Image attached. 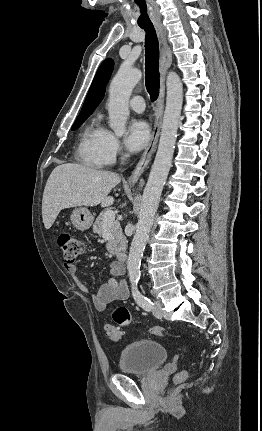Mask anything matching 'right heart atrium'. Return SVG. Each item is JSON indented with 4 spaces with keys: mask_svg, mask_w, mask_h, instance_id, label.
Masks as SVG:
<instances>
[{
    "mask_svg": "<svg viewBox=\"0 0 262 431\" xmlns=\"http://www.w3.org/2000/svg\"><path fill=\"white\" fill-rule=\"evenodd\" d=\"M102 149L105 164L113 163L120 155H122L121 142L108 130L105 131Z\"/></svg>",
    "mask_w": 262,
    "mask_h": 431,
    "instance_id": "d8ad5b80",
    "label": "right heart atrium"
}]
</instances>
